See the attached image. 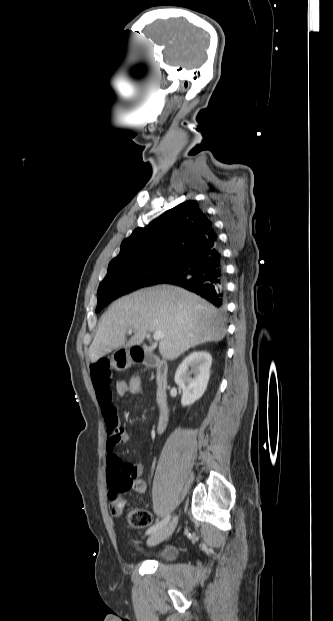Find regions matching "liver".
<instances>
[{
	"label": "liver",
	"instance_id": "1",
	"mask_svg": "<svg viewBox=\"0 0 333 621\" xmlns=\"http://www.w3.org/2000/svg\"><path fill=\"white\" fill-rule=\"evenodd\" d=\"M134 335L127 341L129 329ZM162 331L159 352L174 360L198 344L221 341L224 317L200 297L169 285L136 291L115 301L102 315L89 347L92 363L121 347L140 345L147 332Z\"/></svg>",
	"mask_w": 333,
	"mask_h": 621
}]
</instances>
